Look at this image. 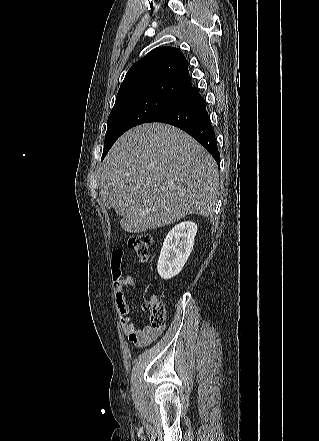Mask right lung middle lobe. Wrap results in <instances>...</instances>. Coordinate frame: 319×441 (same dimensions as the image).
Listing matches in <instances>:
<instances>
[{"instance_id": "1", "label": "right lung middle lobe", "mask_w": 319, "mask_h": 441, "mask_svg": "<svg viewBox=\"0 0 319 441\" xmlns=\"http://www.w3.org/2000/svg\"><path fill=\"white\" fill-rule=\"evenodd\" d=\"M172 102L154 97H141L115 105L110 112L105 134L102 160L114 142L127 130L147 123Z\"/></svg>"}]
</instances>
